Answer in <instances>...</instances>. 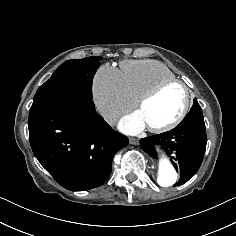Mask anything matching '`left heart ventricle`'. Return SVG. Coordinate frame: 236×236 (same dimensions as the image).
Wrapping results in <instances>:
<instances>
[{
  "label": "left heart ventricle",
  "mask_w": 236,
  "mask_h": 236,
  "mask_svg": "<svg viewBox=\"0 0 236 236\" xmlns=\"http://www.w3.org/2000/svg\"><path fill=\"white\" fill-rule=\"evenodd\" d=\"M184 102L183 88L174 84L166 87L139 111L146 126H163L178 117L183 109Z\"/></svg>",
  "instance_id": "left-heart-ventricle-1"
}]
</instances>
